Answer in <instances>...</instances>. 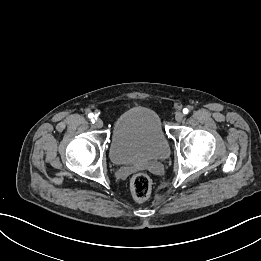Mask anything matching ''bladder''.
Listing matches in <instances>:
<instances>
[{"instance_id": "obj_1", "label": "bladder", "mask_w": 261, "mask_h": 261, "mask_svg": "<svg viewBox=\"0 0 261 261\" xmlns=\"http://www.w3.org/2000/svg\"><path fill=\"white\" fill-rule=\"evenodd\" d=\"M170 153V144L159 115L146 107H133L114 122L109 144L116 165L159 160Z\"/></svg>"}]
</instances>
